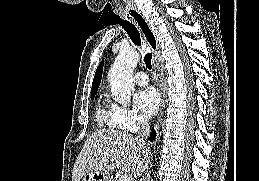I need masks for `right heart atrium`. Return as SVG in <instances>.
Masks as SVG:
<instances>
[{
	"label": "right heart atrium",
	"mask_w": 259,
	"mask_h": 181,
	"mask_svg": "<svg viewBox=\"0 0 259 181\" xmlns=\"http://www.w3.org/2000/svg\"><path fill=\"white\" fill-rule=\"evenodd\" d=\"M113 123L126 131H137L147 123V118L134 109L111 103L109 107Z\"/></svg>",
	"instance_id": "1"
}]
</instances>
